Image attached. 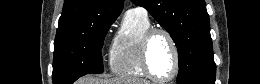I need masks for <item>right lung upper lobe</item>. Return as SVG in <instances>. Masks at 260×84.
<instances>
[{"instance_id": "1", "label": "right lung upper lobe", "mask_w": 260, "mask_h": 84, "mask_svg": "<svg viewBox=\"0 0 260 84\" xmlns=\"http://www.w3.org/2000/svg\"><path fill=\"white\" fill-rule=\"evenodd\" d=\"M124 0H65L56 38L80 33L90 24L116 20Z\"/></svg>"}]
</instances>
